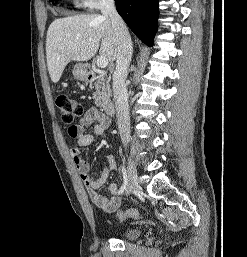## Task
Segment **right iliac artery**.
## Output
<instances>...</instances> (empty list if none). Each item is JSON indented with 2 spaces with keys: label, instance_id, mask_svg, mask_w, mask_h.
Listing matches in <instances>:
<instances>
[{
  "label": "right iliac artery",
  "instance_id": "1",
  "mask_svg": "<svg viewBox=\"0 0 247 257\" xmlns=\"http://www.w3.org/2000/svg\"><path fill=\"white\" fill-rule=\"evenodd\" d=\"M122 173H123V185L121 186L120 190H119V193H123L124 190L126 189L127 187V184H128V178H127V173H126V170L124 167H122Z\"/></svg>",
  "mask_w": 247,
  "mask_h": 257
}]
</instances>
